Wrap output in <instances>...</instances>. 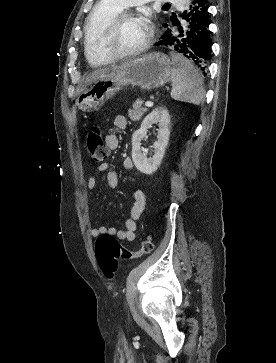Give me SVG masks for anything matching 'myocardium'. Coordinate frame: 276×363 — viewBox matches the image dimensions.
<instances>
[{
  "mask_svg": "<svg viewBox=\"0 0 276 363\" xmlns=\"http://www.w3.org/2000/svg\"><path fill=\"white\" fill-rule=\"evenodd\" d=\"M139 13L135 10H124L117 13L106 25L102 36L101 43L104 52L112 59L119 60L125 59L133 56L140 55L143 53L150 45L152 41V31L148 28V33L145 40L136 48L128 51H117L112 47V39L116 35L120 25L129 18L139 17Z\"/></svg>",
  "mask_w": 276,
  "mask_h": 363,
  "instance_id": "f54148a6",
  "label": "myocardium"
}]
</instances>
